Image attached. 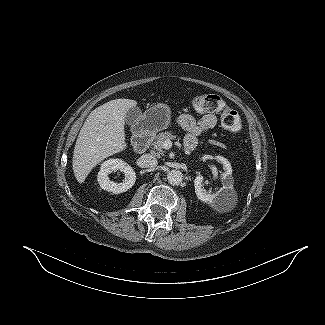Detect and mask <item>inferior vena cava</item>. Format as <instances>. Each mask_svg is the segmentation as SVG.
Returning <instances> with one entry per match:
<instances>
[{"label": "inferior vena cava", "instance_id": "inferior-vena-cava-1", "mask_svg": "<svg viewBox=\"0 0 325 325\" xmlns=\"http://www.w3.org/2000/svg\"><path fill=\"white\" fill-rule=\"evenodd\" d=\"M141 164L145 168H155L158 165V161L155 156L151 154H143L140 158Z\"/></svg>", "mask_w": 325, "mask_h": 325}]
</instances>
